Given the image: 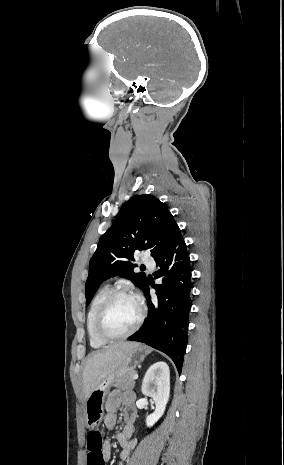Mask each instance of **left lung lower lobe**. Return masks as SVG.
I'll return each instance as SVG.
<instances>
[{
	"label": "left lung lower lobe",
	"instance_id": "left-lung-lower-lobe-1",
	"mask_svg": "<svg viewBox=\"0 0 284 465\" xmlns=\"http://www.w3.org/2000/svg\"><path fill=\"white\" fill-rule=\"evenodd\" d=\"M186 248L178 228L165 250L154 258L158 266L155 279L161 278L162 284L154 286L155 300L149 295L148 280L142 286L149 315L144 326L129 338L167 354L179 373L188 341V317L192 306V270Z\"/></svg>",
	"mask_w": 284,
	"mask_h": 465
}]
</instances>
